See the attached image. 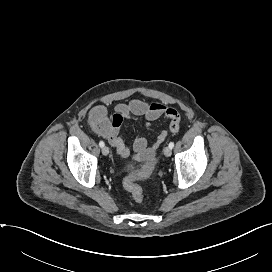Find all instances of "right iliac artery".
I'll return each mask as SVG.
<instances>
[{
  "label": "right iliac artery",
  "mask_w": 272,
  "mask_h": 272,
  "mask_svg": "<svg viewBox=\"0 0 272 272\" xmlns=\"http://www.w3.org/2000/svg\"><path fill=\"white\" fill-rule=\"evenodd\" d=\"M104 145H105V144H104L103 141H100V142H99V146H100V147H104Z\"/></svg>",
  "instance_id": "82829eb1"
}]
</instances>
